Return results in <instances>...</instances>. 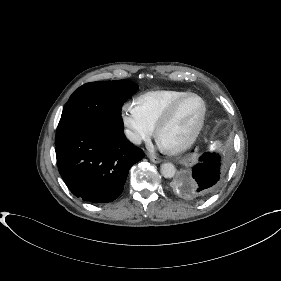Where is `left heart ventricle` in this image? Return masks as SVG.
Segmentation results:
<instances>
[{
  "instance_id": "left-heart-ventricle-1",
  "label": "left heart ventricle",
  "mask_w": 281,
  "mask_h": 281,
  "mask_svg": "<svg viewBox=\"0 0 281 281\" xmlns=\"http://www.w3.org/2000/svg\"><path fill=\"white\" fill-rule=\"evenodd\" d=\"M201 112L202 104L200 100L197 98L185 100L160 132L159 143L165 147H172L183 142L196 128Z\"/></svg>"
}]
</instances>
